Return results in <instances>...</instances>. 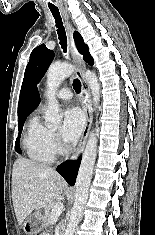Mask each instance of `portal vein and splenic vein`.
Segmentation results:
<instances>
[{"label":"portal vein and splenic vein","mask_w":155,"mask_h":235,"mask_svg":"<svg viewBox=\"0 0 155 235\" xmlns=\"http://www.w3.org/2000/svg\"><path fill=\"white\" fill-rule=\"evenodd\" d=\"M64 210V206L62 202H57L52 208V217L59 216Z\"/></svg>","instance_id":"portal-vein-and-splenic-vein-1"}]
</instances>
